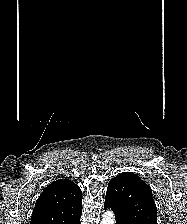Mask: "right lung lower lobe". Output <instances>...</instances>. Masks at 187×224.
I'll list each match as a JSON object with an SVG mask.
<instances>
[{
    "label": "right lung lower lobe",
    "instance_id": "1",
    "mask_svg": "<svg viewBox=\"0 0 187 224\" xmlns=\"http://www.w3.org/2000/svg\"><path fill=\"white\" fill-rule=\"evenodd\" d=\"M80 217H81V214H79L78 216L74 217L68 224H80Z\"/></svg>",
    "mask_w": 187,
    "mask_h": 224
}]
</instances>
